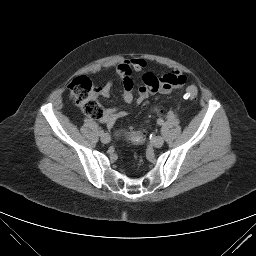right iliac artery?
<instances>
[{
    "mask_svg": "<svg viewBox=\"0 0 256 256\" xmlns=\"http://www.w3.org/2000/svg\"><path fill=\"white\" fill-rule=\"evenodd\" d=\"M104 134V131L103 130H100L99 131V135L102 136Z\"/></svg>",
    "mask_w": 256,
    "mask_h": 256,
    "instance_id": "1",
    "label": "right iliac artery"
}]
</instances>
